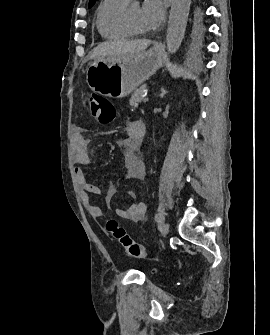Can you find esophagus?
I'll return each instance as SVG.
<instances>
[{"label":"esophagus","mask_w":270,"mask_h":335,"mask_svg":"<svg viewBox=\"0 0 270 335\" xmlns=\"http://www.w3.org/2000/svg\"><path fill=\"white\" fill-rule=\"evenodd\" d=\"M160 46H161V44H158V45H157V47H160Z\"/></svg>","instance_id":"1"}]
</instances>
